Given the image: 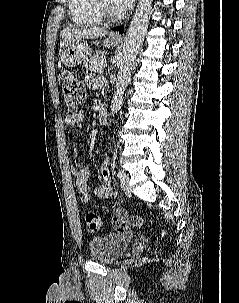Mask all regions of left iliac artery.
<instances>
[{
    "label": "left iliac artery",
    "mask_w": 239,
    "mask_h": 303,
    "mask_svg": "<svg viewBox=\"0 0 239 303\" xmlns=\"http://www.w3.org/2000/svg\"><path fill=\"white\" fill-rule=\"evenodd\" d=\"M117 177H118L119 179H121V178L123 177V173H122L121 171H118V172H117Z\"/></svg>",
    "instance_id": "1"
}]
</instances>
